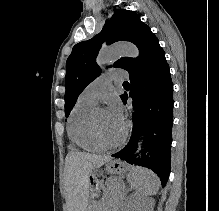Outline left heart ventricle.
Wrapping results in <instances>:
<instances>
[{"label":"left heart ventricle","instance_id":"1","mask_svg":"<svg viewBox=\"0 0 219 211\" xmlns=\"http://www.w3.org/2000/svg\"><path fill=\"white\" fill-rule=\"evenodd\" d=\"M97 124L101 133L110 140H116L124 130L114 124L105 108L98 111Z\"/></svg>","mask_w":219,"mask_h":211}]
</instances>
